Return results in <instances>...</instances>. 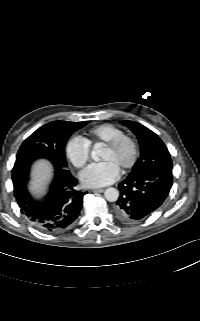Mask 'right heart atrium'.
<instances>
[{
  "mask_svg": "<svg viewBox=\"0 0 200 321\" xmlns=\"http://www.w3.org/2000/svg\"><path fill=\"white\" fill-rule=\"evenodd\" d=\"M65 152L72 165L80 169L89 159L90 146L84 138L73 136L67 141Z\"/></svg>",
  "mask_w": 200,
  "mask_h": 321,
  "instance_id": "d8ad5b80",
  "label": "right heart atrium"
}]
</instances>
